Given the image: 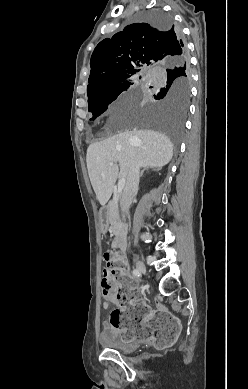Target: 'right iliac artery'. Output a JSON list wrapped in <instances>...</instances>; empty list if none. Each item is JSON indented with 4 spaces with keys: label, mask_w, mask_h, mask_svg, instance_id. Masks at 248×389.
<instances>
[{
    "label": "right iliac artery",
    "mask_w": 248,
    "mask_h": 389,
    "mask_svg": "<svg viewBox=\"0 0 248 389\" xmlns=\"http://www.w3.org/2000/svg\"><path fill=\"white\" fill-rule=\"evenodd\" d=\"M133 275L138 277V276H140V272L137 269H134Z\"/></svg>",
    "instance_id": "obj_1"
}]
</instances>
